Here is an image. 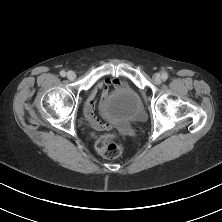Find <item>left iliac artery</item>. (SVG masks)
<instances>
[{
    "mask_svg": "<svg viewBox=\"0 0 222 222\" xmlns=\"http://www.w3.org/2000/svg\"><path fill=\"white\" fill-rule=\"evenodd\" d=\"M162 78L164 79V80H166L167 78H168V74L165 72V73H163L162 74Z\"/></svg>",
    "mask_w": 222,
    "mask_h": 222,
    "instance_id": "left-iliac-artery-1",
    "label": "left iliac artery"
}]
</instances>
